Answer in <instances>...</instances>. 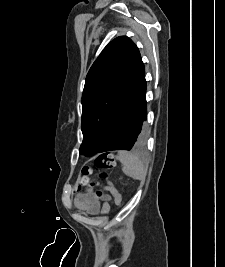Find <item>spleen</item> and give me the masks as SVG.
<instances>
[{"label":"spleen","instance_id":"obj_1","mask_svg":"<svg viewBox=\"0 0 225 267\" xmlns=\"http://www.w3.org/2000/svg\"><path fill=\"white\" fill-rule=\"evenodd\" d=\"M117 159L121 162L122 171L126 176L134 180H145L147 169L138 156L128 151H119Z\"/></svg>","mask_w":225,"mask_h":267}]
</instances>
